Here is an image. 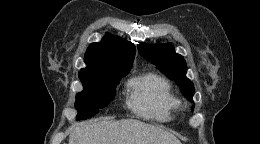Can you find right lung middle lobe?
<instances>
[{"label": "right lung middle lobe", "instance_id": "dd1d6c3e", "mask_svg": "<svg viewBox=\"0 0 260 144\" xmlns=\"http://www.w3.org/2000/svg\"><path fill=\"white\" fill-rule=\"evenodd\" d=\"M128 73L123 71L79 76L83 91L76 95L77 120L90 118L107 106L115 95L120 79Z\"/></svg>", "mask_w": 260, "mask_h": 144}]
</instances>
